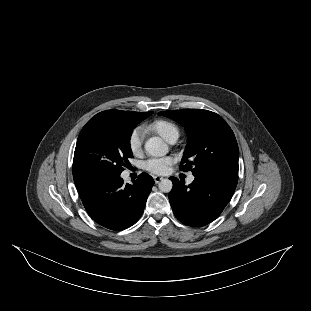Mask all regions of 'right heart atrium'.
<instances>
[{"instance_id": "1", "label": "right heart atrium", "mask_w": 311, "mask_h": 311, "mask_svg": "<svg viewBox=\"0 0 311 311\" xmlns=\"http://www.w3.org/2000/svg\"><path fill=\"white\" fill-rule=\"evenodd\" d=\"M144 136L145 128L143 126H136L131 130L128 135L127 145L132 154L136 155L141 151Z\"/></svg>"}]
</instances>
